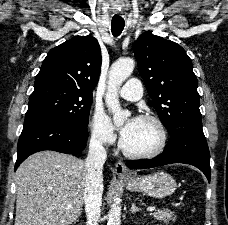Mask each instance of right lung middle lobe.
Masks as SVG:
<instances>
[{
  "label": "right lung middle lobe",
  "mask_w": 228,
  "mask_h": 225,
  "mask_svg": "<svg viewBox=\"0 0 228 225\" xmlns=\"http://www.w3.org/2000/svg\"><path fill=\"white\" fill-rule=\"evenodd\" d=\"M92 96L90 92L59 83L35 85L25 120L51 116L87 127Z\"/></svg>",
  "instance_id": "obj_1"
}]
</instances>
